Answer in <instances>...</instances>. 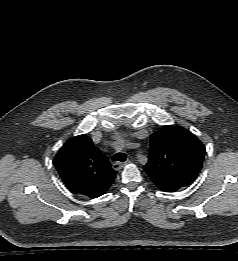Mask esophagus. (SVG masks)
Masks as SVG:
<instances>
[{
	"instance_id": "obj_1",
	"label": "esophagus",
	"mask_w": 238,
	"mask_h": 261,
	"mask_svg": "<svg viewBox=\"0 0 238 261\" xmlns=\"http://www.w3.org/2000/svg\"><path fill=\"white\" fill-rule=\"evenodd\" d=\"M129 162H130L129 160L125 161L124 163H122V162H114V163L112 164V168H113L114 170H120V169H122L126 164H128Z\"/></svg>"
}]
</instances>
